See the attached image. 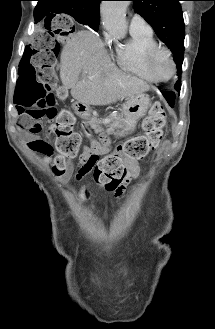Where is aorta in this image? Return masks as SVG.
I'll use <instances>...</instances> for the list:
<instances>
[{
    "label": "aorta",
    "instance_id": "aorta-1",
    "mask_svg": "<svg viewBox=\"0 0 215 329\" xmlns=\"http://www.w3.org/2000/svg\"><path fill=\"white\" fill-rule=\"evenodd\" d=\"M128 1H103L101 18L104 28L112 35L123 38L127 33L125 18Z\"/></svg>",
    "mask_w": 215,
    "mask_h": 329
}]
</instances>
